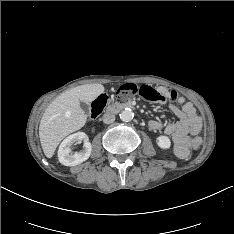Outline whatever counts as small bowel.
Returning <instances> with one entry per match:
<instances>
[{
	"mask_svg": "<svg viewBox=\"0 0 234 234\" xmlns=\"http://www.w3.org/2000/svg\"><path fill=\"white\" fill-rule=\"evenodd\" d=\"M159 98L155 101L159 104L170 103L169 108L175 114L176 120L163 124L158 120H150L151 129L162 130L169 136L173 143V152L176 156L184 158L188 155L192 143L201 130V120L191 102L179 96L176 91L166 89L157 90Z\"/></svg>",
	"mask_w": 234,
	"mask_h": 234,
	"instance_id": "obj_1",
	"label": "small bowel"
}]
</instances>
